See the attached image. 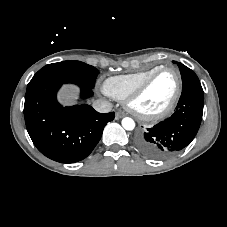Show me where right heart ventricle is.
<instances>
[{"instance_id": "e07e8e85", "label": "right heart ventricle", "mask_w": 227, "mask_h": 227, "mask_svg": "<svg viewBox=\"0 0 227 227\" xmlns=\"http://www.w3.org/2000/svg\"><path fill=\"white\" fill-rule=\"evenodd\" d=\"M161 67L163 66H155L135 73L108 77L103 82L102 89L107 95L123 100L149 75Z\"/></svg>"}]
</instances>
